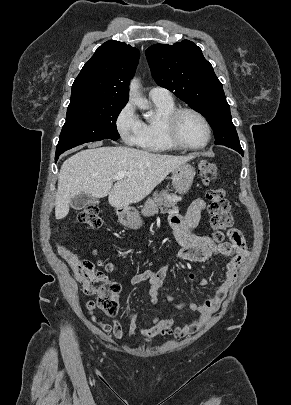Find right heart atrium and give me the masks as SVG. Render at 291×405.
Returning a JSON list of instances; mask_svg holds the SVG:
<instances>
[{"instance_id":"1","label":"right heart atrium","mask_w":291,"mask_h":405,"mask_svg":"<svg viewBox=\"0 0 291 405\" xmlns=\"http://www.w3.org/2000/svg\"><path fill=\"white\" fill-rule=\"evenodd\" d=\"M115 127L121 140L126 145H139L143 131V122L131 103H126L119 110L115 118Z\"/></svg>"}]
</instances>
